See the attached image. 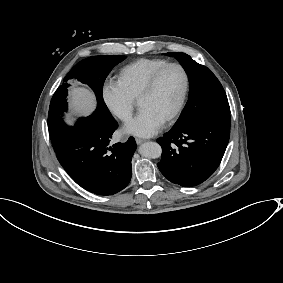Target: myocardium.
<instances>
[{
	"instance_id": "1",
	"label": "myocardium",
	"mask_w": 283,
	"mask_h": 283,
	"mask_svg": "<svg viewBox=\"0 0 283 283\" xmlns=\"http://www.w3.org/2000/svg\"><path fill=\"white\" fill-rule=\"evenodd\" d=\"M171 67H177L181 70L183 78H184V86H183V90L181 93V96L178 100V103L176 105V107L174 108V110L164 119L165 122H169L171 120H173L174 118H176L180 112L183 109L187 94H188V90H189V83H190V79H189V74L188 71L186 70V68L177 62H170L164 66H162L161 68H159L158 70H156L146 81L139 97H138V104L139 102L149 96L155 89V86L157 84V82L159 81L160 77Z\"/></svg>"
}]
</instances>
